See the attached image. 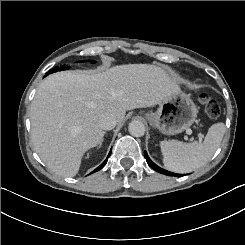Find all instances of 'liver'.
<instances>
[{
  "label": "liver",
  "mask_w": 245,
  "mask_h": 245,
  "mask_svg": "<svg viewBox=\"0 0 245 245\" xmlns=\"http://www.w3.org/2000/svg\"><path fill=\"white\" fill-rule=\"evenodd\" d=\"M179 90L176 78L150 64L51 74L31 104L33 144L49 169L73 177L84 153L103 139L98 124L103 113H112L121 123L127 110L155 106Z\"/></svg>",
  "instance_id": "1"
}]
</instances>
